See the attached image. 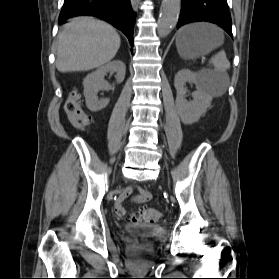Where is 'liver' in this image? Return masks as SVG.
<instances>
[{"label": "liver", "mask_w": 279, "mask_h": 279, "mask_svg": "<svg viewBox=\"0 0 279 279\" xmlns=\"http://www.w3.org/2000/svg\"><path fill=\"white\" fill-rule=\"evenodd\" d=\"M120 36L103 21L77 17L58 34L56 68L58 71H88L109 62L120 47Z\"/></svg>", "instance_id": "1"}]
</instances>
